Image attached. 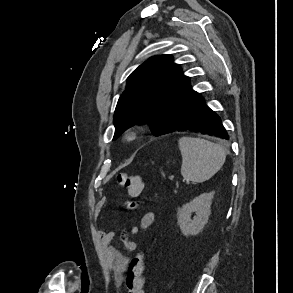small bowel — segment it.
Returning <instances> with one entry per match:
<instances>
[{"label": "small bowel", "mask_w": 293, "mask_h": 293, "mask_svg": "<svg viewBox=\"0 0 293 293\" xmlns=\"http://www.w3.org/2000/svg\"><path fill=\"white\" fill-rule=\"evenodd\" d=\"M131 206L134 207L133 204ZM154 219L155 217L152 212L144 214L140 220V228L142 230H147L153 225ZM98 236L109 262L110 269L114 274V281L117 286H121L123 281V273L128 265V258L117 248L112 246L111 241L113 239L120 238L124 248L128 251L136 250L137 245L128 237L126 233L120 234L116 230H100L98 232Z\"/></svg>", "instance_id": "obj_1"}]
</instances>
